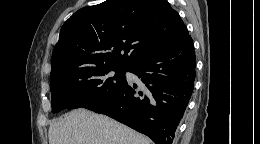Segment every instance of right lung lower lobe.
<instances>
[{
	"instance_id": "1",
	"label": "right lung lower lobe",
	"mask_w": 260,
	"mask_h": 144,
	"mask_svg": "<svg viewBox=\"0 0 260 144\" xmlns=\"http://www.w3.org/2000/svg\"><path fill=\"white\" fill-rule=\"evenodd\" d=\"M196 57L190 35L177 44L152 52L130 66L140 82L123 86L83 108L102 113L150 137L172 144L192 95Z\"/></svg>"
}]
</instances>
